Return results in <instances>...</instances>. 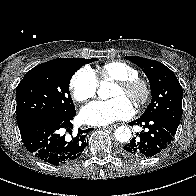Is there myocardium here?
<instances>
[{
  "label": "myocardium",
  "instance_id": "myocardium-1",
  "mask_svg": "<svg viewBox=\"0 0 196 196\" xmlns=\"http://www.w3.org/2000/svg\"><path fill=\"white\" fill-rule=\"evenodd\" d=\"M116 85L127 91H137L138 95L134 98L133 103L140 107L148 103L151 97V85L145 78L135 76L127 79L116 81Z\"/></svg>",
  "mask_w": 196,
  "mask_h": 196
}]
</instances>
